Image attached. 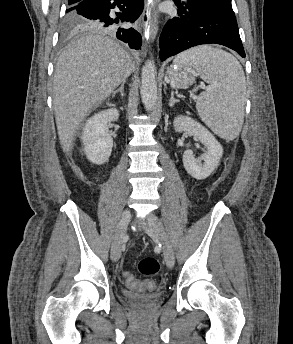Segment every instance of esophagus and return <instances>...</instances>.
Here are the masks:
<instances>
[{
	"mask_svg": "<svg viewBox=\"0 0 293 344\" xmlns=\"http://www.w3.org/2000/svg\"><path fill=\"white\" fill-rule=\"evenodd\" d=\"M158 0H146L145 9L142 16V20L144 21L146 27L148 26V32H145V36L150 38L153 42L158 33V24L157 19L155 16V9Z\"/></svg>",
	"mask_w": 293,
	"mask_h": 344,
	"instance_id": "esophagus-1",
	"label": "esophagus"
}]
</instances>
